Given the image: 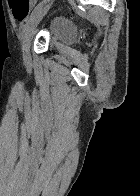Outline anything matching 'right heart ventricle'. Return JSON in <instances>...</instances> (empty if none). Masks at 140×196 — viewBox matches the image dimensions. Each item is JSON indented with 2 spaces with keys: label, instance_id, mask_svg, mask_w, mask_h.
Instances as JSON below:
<instances>
[{
  "label": "right heart ventricle",
  "instance_id": "e07e8e85",
  "mask_svg": "<svg viewBox=\"0 0 140 196\" xmlns=\"http://www.w3.org/2000/svg\"><path fill=\"white\" fill-rule=\"evenodd\" d=\"M10 192H37V191H10Z\"/></svg>",
  "mask_w": 140,
  "mask_h": 196
}]
</instances>
